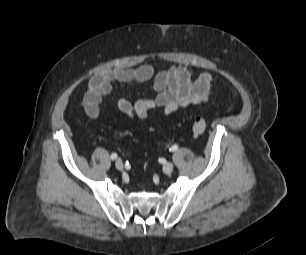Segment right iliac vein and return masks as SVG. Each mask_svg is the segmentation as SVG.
<instances>
[{
  "instance_id": "obj_1",
  "label": "right iliac vein",
  "mask_w": 306,
  "mask_h": 255,
  "mask_svg": "<svg viewBox=\"0 0 306 255\" xmlns=\"http://www.w3.org/2000/svg\"><path fill=\"white\" fill-rule=\"evenodd\" d=\"M115 166L118 170H122L124 168L123 161L120 158L116 159Z\"/></svg>"
}]
</instances>
